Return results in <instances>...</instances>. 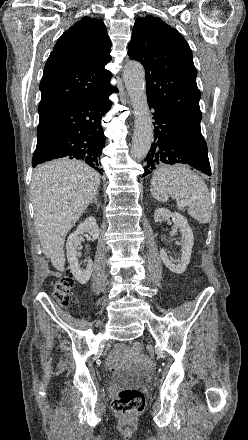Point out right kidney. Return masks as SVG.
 Instances as JSON below:
<instances>
[{"instance_id": "obj_1", "label": "right kidney", "mask_w": 248, "mask_h": 440, "mask_svg": "<svg viewBox=\"0 0 248 440\" xmlns=\"http://www.w3.org/2000/svg\"><path fill=\"white\" fill-rule=\"evenodd\" d=\"M84 232L89 233L93 239H97L99 237V228L94 217H89L82 222L77 227L76 231L69 235L66 243L67 259L70 264V270L75 279L82 285L89 281L93 271L92 260L89 259L87 261V266L85 269L80 267V263L78 261V249L80 246L79 235L83 234Z\"/></svg>"}]
</instances>
